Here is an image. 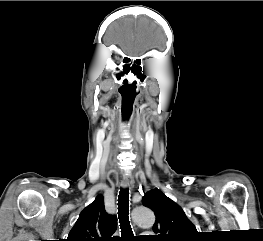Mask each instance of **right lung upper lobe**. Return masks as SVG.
<instances>
[{"mask_svg": "<svg viewBox=\"0 0 263 241\" xmlns=\"http://www.w3.org/2000/svg\"><path fill=\"white\" fill-rule=\"evenodd\" d=\"M117 222L105 211L104 199L98 195L79 215L66 241H115Z\"/></svg>", "mask_w": 263, "mask_h": 241, "instance_id": "right-lung-upper-lobe-1", "label": "right lung upper lobe"}]
</instances>
